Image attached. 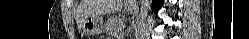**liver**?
<instances>
[{
  "label": "liver",
  "mask_w": 249,
  "mask_h": 39,
  "mask_svg": "<svg viewBox=\"0 0 249 39\" xmlns=\"http://www.w3.org/2000/svg\"><path fill=\"white\" fill-rule=\"evenodd\" d=\"M123 0H82L79 5V24L91 15L114 14L121 11Z\"/></svg>",
  "instance_id": "1"
}]
</instances>
